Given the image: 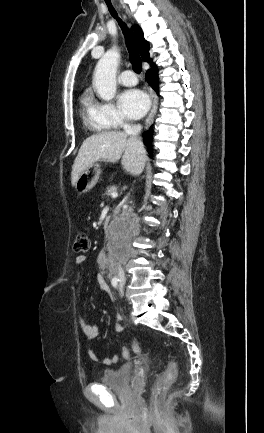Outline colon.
I'll list each match as a JSON object with an SVG mask.
<instances>
[{
	"label": "colon",
	"mask_w": 264,
	"mask_h": 433,
	"mask_svg": "<svg viewBox=\"0 0 264 433\" xmlns=\"http://www.w3.org/2000/svg\"><path fill=\"white\" fill-rule=\"evenodd\" d=\"M74 251L77 253H86L88 252L90 248V240L85 232H79L76 235L74 245H73ZM133 351L136 354H139L141 352V345L140 343L133 341L130 343L129 346H125L122 350V356L124 359H128L130 357V351ZM177 375V364L174 359H171L165 371L162 375V381L165 384L172 383Z\"/></svg>",
	"instance_id": "5ec220e1"
}]
</instances>
